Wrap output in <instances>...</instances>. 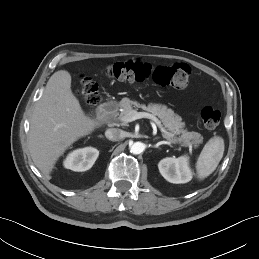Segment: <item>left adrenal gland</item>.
Returning a JSON list of instances; mask_svg holds the SVG:
<instances>
[{
	"label": "left adrenal gland",
	"mask_w": 259,
	"mask_h": 259,
	"mask_svg": "<svg viewBox=\"0 0 259 259\" xmlns=\"http://www.w3.org/2000/svg\"><path fill=\"white\" fill-rule=\"evenodd\" d=\"M158 139H159L158 137H155V138L153 139V141L158 140Z\"/></svg>",
	"instance_id": "obj_1"
}]
</instances>
